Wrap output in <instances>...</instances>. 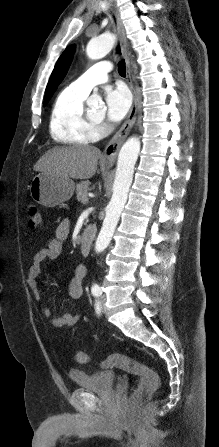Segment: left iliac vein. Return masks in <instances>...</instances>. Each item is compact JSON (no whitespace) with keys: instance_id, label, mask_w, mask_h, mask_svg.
<instances>
[{"instance_id":"obj_1","label":"left iliac vein","mask_w":219,"mask_h":447,"mask_svg":"<svg viewBox=\"0 0 219 447\" xmlns=\"http://www.w3.org/2000/svg\"><path fill=\"white\" fill-rule=\"evenodd\" d=\"M104 302H105V298L102 297L101 303H102V308H103V309L105 308V306H104Z\"/></svg>"}]
</instances>
